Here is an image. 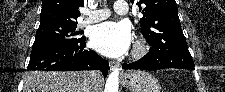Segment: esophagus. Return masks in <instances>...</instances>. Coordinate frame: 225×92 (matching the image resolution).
Returning <instances> with one entry per match:
<instances>
[{"instance_id": "1", "label": "esophagus", "mask_w": 225, "mask_h": 92, "mask_svg": "<svg viewBox=\"0 0 225 92\" xmlns=\"http://www.w3.org/2000/svg\"><path fill=\"white\" fill-rule=\"evenodd\" d=\"M109 66H110V70H119L120 69V64L115 61H110Z\"/></svg>"}]
</instances>
